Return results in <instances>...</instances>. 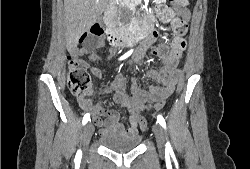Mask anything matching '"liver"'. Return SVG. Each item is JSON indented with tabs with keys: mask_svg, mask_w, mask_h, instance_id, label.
I'll use <instances>...</instances> for the list:
<instances>
[{
	"mask_svg": "<svg viewBox=\"0 0 250 169\" xmlns=\"http://www.w3.org/2000/svg\"><path fill=\"white\" fill-rule=\"evenodd\" d=\"M107 4L108 0H64L68 50L77 46L81 34L96 22Z\"/></svg>",
	"mask_w": 250,
	"mask_h": 169,
	"instance_id": "liver-1",
	"label": "liver"
}]
</instances>
